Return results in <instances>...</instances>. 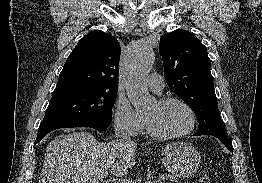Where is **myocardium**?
Segmentation results:
<instances>
[{
    "label": "myocardium",
    "mask_w": 262,
    "mask_h": 183,
    "mask_svg": "<svg viewBox=\"0 0 262 183\" xmlns=\"http://www.w3.org/2000/svg\"><path fill=\"white\" fill-rule=\"evenodd\" d=\"M171 103H178V104L182 105L189 112L190 125H189V127L186 130H184L182 132H179V133H176V134H171V135H166V134H161V133L157 132L152 127L150 122L147 119H145L146 129H147L148 134L151 137H153V138H155L157 140L166 141V140H174V139H178V138L184 137V136L190 134L194 130L195 126H196L197 117H196L195 110L185 100H183L181 98H178V97H164V98L159 99L158 102H157V104L159 106H166V105L171 104Z\"/></svg>",
    "instance_id": "obj_1"
}]
</instances>
